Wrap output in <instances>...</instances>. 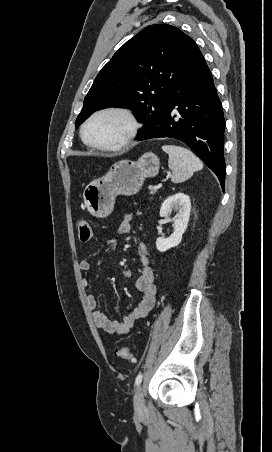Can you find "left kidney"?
I'll return each mask as SVG.
<instances>
[{"mask_svg": "<svg viewBox=\"0 0 272 452\" xmlns=\"http://www.w3.org/2000/svg\"><path fill=\"white\" fill-rule=\"evenodd\" d=\"M172 209L178 212L177 217L172 219L174 232L168 238H157L156 248L160 252H165L180 244L190 217L191 202L189 196L180 192L169 196L161 205L160 217H168Z\"/></svg>", "mask_w": 272, "mask_h": 452, "instance_id": "obj_1", "label": "left kidney"}]
</instances>
